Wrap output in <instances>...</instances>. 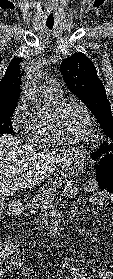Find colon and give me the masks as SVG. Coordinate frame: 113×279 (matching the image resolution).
Returning <instances> with one entry per match:
<instances>
[{"instance_id":"1","label":"colon","mask_w":113,"mask_h":279,"mask_svg":"<svg viewBox=\"0 0 113 279\" xmlns=\"http://www.w3.org/2000/svg\"><path fill=\"white\" fill-rule=\"evenodd\" d=\"M98 161L96 182L101 192L113 194V145L103 144L94 152ZM21 251L14 247L6 248L0 241V276L7 264H17L21 261Z\"/></svg>"}]
</instances>
